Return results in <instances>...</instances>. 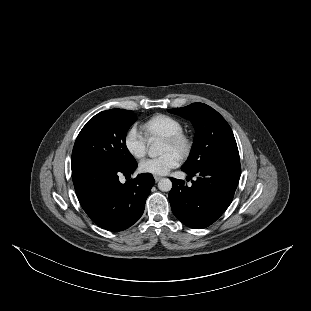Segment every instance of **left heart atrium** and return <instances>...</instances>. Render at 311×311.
<instances>
[{"label": "left heart atrium", "instance_id": "1", "mask_svg": "<svg viewBox=\"0 0 311 311\" xmlns=\"http://www.w3.org/2000/svg\"><path fill=\"white\" fill-rule=\"evenodd\" d=\"M180 162V155L175 151H169L157 158H151L141 162L139 170L144 174L165 176L172 169L178 167Z\"/></svg>", "mask_w": 311, "mask_h": 311}]
</instances>
